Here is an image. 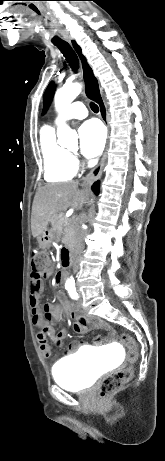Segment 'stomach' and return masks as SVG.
<instances>
[{
	"label": "stomach",
	"mask_w": 165,
	"mask_h": 461,
	"mask_svg": "<svg viewBox=\"0 0 165 461\" xmlns=\"http://www.w3.org/2000/svg\"><path fill=\"white\" fill-rule=\"evenodd\" d=\"M53 239V231L51 229H45L43 233L38 237L39 246L42 249H47L51 246Z\"/></svg>",
	"instance_id": "obj_1"
}]
</instances>
